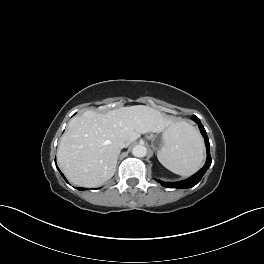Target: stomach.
I'll list each match as a JSON object with an SVG mask.
<instances>
[{
  "instance_id": "0dacf381",
  "label": "stomach",
  "mask_w": 264,
  "mask_h": 264,
  "mask_svg": "<svg viewBox=\"0 0 264 264\" xmlns=\"http://www.w3.org/2000/svg\"><path fill=\"white\" fill-rule=\"evenodd\" d=\"M171 128L166 129L163 133H155L154 135L151 134L148 138L151 140V144L155 150H160L163 148L167 143L168 139L171 135Z\"/></svg>"
}]
</instances>
